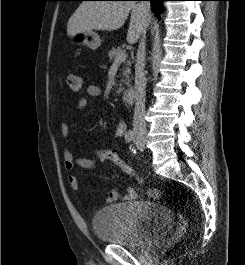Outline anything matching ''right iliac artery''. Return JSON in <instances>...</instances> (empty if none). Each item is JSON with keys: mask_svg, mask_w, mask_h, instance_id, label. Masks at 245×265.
I'll list each match as a JSON object with an SVG mask.
<instances>
[{"mask_svg": "<svg viewBox=\"0 0 245 265\" xmlns=\"http://www.w3.org/2000/svg\"><path fill=\"white\" fill-rule=\"evenodd\" d=\"M134 138V133L133 131H128L126 134H125V140L126 142H131Z\"/></svg>", "mask_w": 245, "mask_h": 265, "instance_id": "right-iliac-artery-1", "label": "right iliac artery"}]
</instances>
